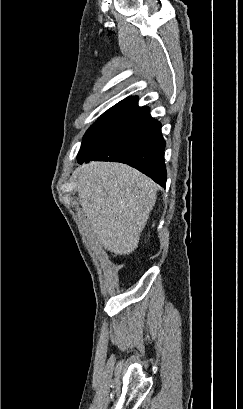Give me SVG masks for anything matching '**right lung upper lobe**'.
Listing matches in <instances>:
<instances>
[{
	"mask_svg": "<svg viewBox=\"0 0 243 409\" xmlns=\"http://www.w3.org/2000/svg\"><path fill=\"white\" fill-rule=\"evenodd\" d=\"M127 99H129V98H127ZM127 99H125V100H127ZM125 100H123V101H125ZM123 101H121V102H123Z\"/></svg>",
	"mask_w": 243,
	"mask_h": 409,
	"instance_id": "right-lung-upper-lobe-1",
	"label": "right lung upper lobe"
}]
</instances>
